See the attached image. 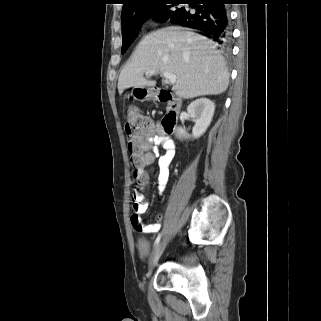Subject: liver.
Here are the masks:
<instances>
[{
	"instance_id": "liver-1",
	"label": "liver",
	"mask_w": 321,
	"mask_h": 321,
	"mask_svg": "<svg viewBox=\"0 0 321 321\" xmlns=\"http://www.w3.org/2000/svg\"><path fill=\"white\" fill-rule=\"evenodd\" d=\"M216 43L181 27H167L144 36L119 75L118 91L156 84L144 74L155 70L176 75L174 93L184 99L226 91L229 73Z\"/></svg>"
}]
</instances>
